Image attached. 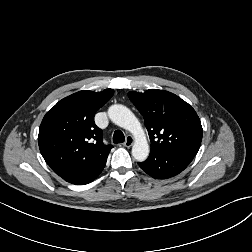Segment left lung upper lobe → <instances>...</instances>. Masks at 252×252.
Listing matches in <instances>:
<instances>
[{"label": "left lung upper lobe", "instance_id": "5c2ea615", "mask_svg": "<svg viewBox=\"0 0 252 252\" xmlns=\"http://www.w3.org/2000/svg\"><path fill=\"white\" fill-rule=\"evenodd\" d=\"M128 96L144 117L151 140V154L182 153L194 157L202 140V126L195 110L177 95L149 89Z\"/></svg>", "mask_w": 252, "mask_h": 252}]
</instances>
